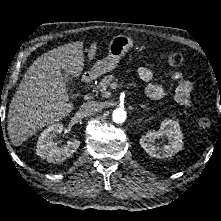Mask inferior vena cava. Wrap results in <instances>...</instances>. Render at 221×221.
I'll return each mask as SVG.
<instances>
[{
    "mask_svg": "<svg viewBox=\"0 0 221 221\" xmlns=\"http://www.w3.org/2000/svg\"><path fill=\"white\" fill-rule=\"evenodd\" d=\"M100 110V105L96 101H88L81 105L80 113L82 116H90Z\"/></svg>",
    "mask_w": 221,
    "mask_h": 221,
    "instance_id": "inferior-vena-cava-1",
    "label": "inferior vena cava"
}]
</instances>
